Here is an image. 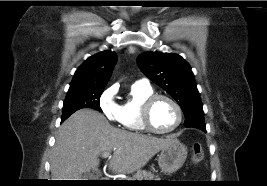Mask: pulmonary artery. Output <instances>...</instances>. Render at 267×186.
<instances>
[{"label":"pulmonary artery","mask_w":267,"mask_h":186,"mask_svg":"<svg viewBox=\"0 0 267 186\" xmlns=\"http://www.w3.org/2000/svg\"><path fill=\"white\" fill-rule=\"evenodd\" d=\"M138 83L148 84L146 80H140Z\"/></svg>","instance_id":"pulmonary-artery-1"}]
</instances>
